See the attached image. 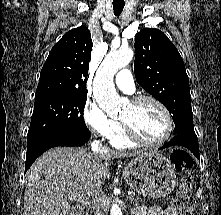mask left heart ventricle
<instances>
[{
  "label": "left heart ventricle",
  "instance_id": "left-heart-ventricle-1",
  "mask_svg": "<svg viewBox=\"0 0 221 215\" xmlns=\"http://www.w3.org/2000/svg\"><path fill=\"white\" fill-rule=\"evenodd\" d=\"M120 119L128 122L136 133L148 142L158 141L166 131V119L163 112L150 101L137 105L129 103Z\"/></svg>",
  "mask_w": 221,
  "mask_h": 215
}]
</instances>
